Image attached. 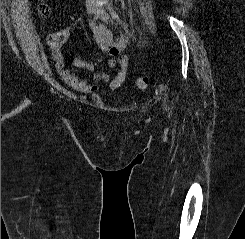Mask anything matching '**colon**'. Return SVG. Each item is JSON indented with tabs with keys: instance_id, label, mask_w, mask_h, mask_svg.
<instances>
[{
	"instance_id": "obj_1",
	"label": "colon",
	"mask_w": 245,
	"mask_h": 239,
	"mask_svg": "<svg viewBox=\"0 0 245 239\" xmlns=\"http://www.w3.org/2000/svg\"><path fill=\"white\" fill-rule=\"evenodd\" d=\"M38 12L41 17H47L50 13V9L47 4L41 3L38 7ZM61 43V39L58 35L54 34L49 37V44L52 48H57ZM150 78L147 76H141L137 78L135 84L136 87L140 90H145L150 86Z\"/></svg>"
}]
</instances>
